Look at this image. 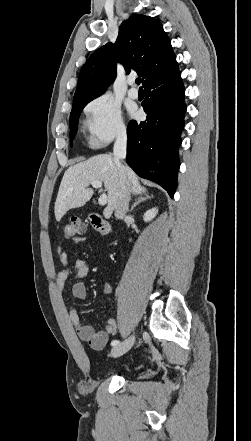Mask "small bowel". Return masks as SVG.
<instances>
[{"instance_id": "c3829d8e", "label": "small bowel", "mask_w": 251, "mask_h": 441, "mask_svg": "<svg viewBox=\"0 0 251 441\" xmlns=\"http://www.w3.org/2000/svg\"><path fill=\"white\" fill-rule=\"evenodd\" d=\"M84 238L76 237L73 242L78 244L84 242ZM58 257L63 269L57 273L56 285L60 293H63L66 285L71 276H74L77 280L72 286V294L75 298L83 300L87 297V289L82 282L91 271V265L84 259H77L74 265L71 267L69 265V255L63 250H58ZM104 292L110 294L112 292V285L106 283L104 286ZM68 317L76 329L79 338L87 342L91 348L95 350L103 349L109 339V336L115 335L118 330V325L115 319L109 318L105 324L104 330L96 331L91 325L83 323L77 310L72 305L68 308Z\"/></svg>"}]
</instances>
